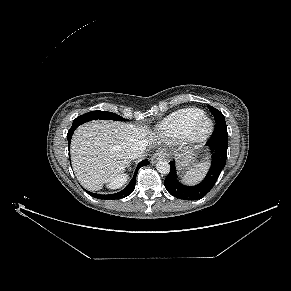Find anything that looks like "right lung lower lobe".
Returning a JSON list of instances; mask_svg holds the SVG:
<instances>
[{"label":"right lung lower lobe","instance_id":"obj_1","mask_svg":"<svg viewBox=\"0 0 291 291\" xmlns=\"http://www.w3.org/2000/svg\"><path fill=\"white\" fill-rule=\"evenodd\" d=\"M79 125L78 124H75L73 123L72 124V127L70 128V130L68 131V134H67V140H68V143L70 144V140H71V137H72V134L74 132V130L78 127ZM149 164V161L148 160H143L141 161L138 166H137V169L133 175V178L132 180L130 181L129 185L123 189L122 191L118 192V193H114V194H108V195H101V194H96V193H92V192H88L91 196L97 198V199H121V198H124L128 195H130L134 188H135V184H136V175H137V172L138 170L142 167V166H145V165H148Z\"/></svg>","mask_w":291,"mask_h":291}]
</instances>
